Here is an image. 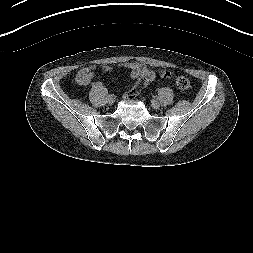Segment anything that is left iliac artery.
I'll use <instances>...</instances> for the list:
<instances>
[{"mask_svg":"<svg viewBox=\"0 0 253 253\" xmlns=\"http://www.w3.org/2000/svg\"><path fill=\"white\" fill-rule=\"evenodd\" d=\"M151 98H152L153 100H156V99L158 98V95H157L156 93H153V94L151 95Z\"/></svg>","mask_w":253,"mask_h":253,"instance_id":"obj_1","label":"left iliac artery"}]
</instances>
